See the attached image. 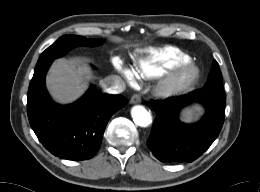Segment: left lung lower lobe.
<instances>
[{
	"label": "left lung lower lobe",
	"mask_w": 260,
	"mask_h": 192,
	"mask_svg": "<svg viewBox=\"0 0 260 192\" xmlns=\"http://www.w3.org/2000/svg\"><path fill=\"white\" fill-rule=\"evenodd\" d=\"M223 88H202L190 95L151 101L156 113L149 149L162 162H192L218 137L225 117ZM193 102L205 108L203 118L191 125L178 120L179 110Z\"/></svg>",
	"instance_id": "0a47b994"
}]
</instances>
